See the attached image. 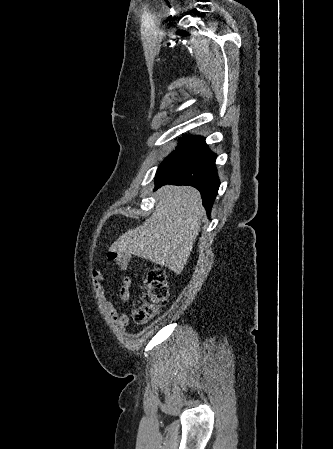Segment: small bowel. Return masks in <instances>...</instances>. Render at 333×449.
<instances>
[{
	"mask_svg": "<svg viewBox=\"0 0 333 449\" xmlns=\"http://www.w3.org/2000/svg\"><path fill=\"white\" fill-rule=\"evenodd\" d=\"M92 278L94 289L100 301L101 307L109 314L117 326H119L122 330H125L128 324V317L125 314H120L113 305L111 298L106 295L103 287L104 276L102 272L99 270L94 271ZM131 285V278L128 276H123L122 286L119 290V298L122 302H126L129 299L131 294Z\"/></svg>",
	"mask_w": 333,
	"mask_h": 449,
	"instance_id": "obj_1",
	"label": "small bowel"
}]
</instances>
